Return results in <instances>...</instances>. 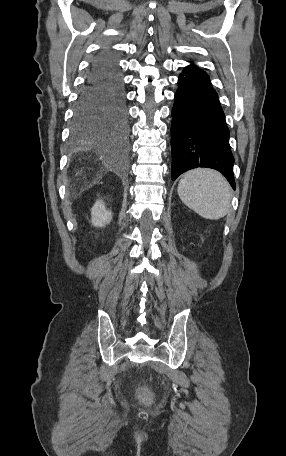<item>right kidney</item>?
Listing matches in <instances>:
<instances>
[{
    "mask_svg": "<svg viewBox=\"0 0 286 456\" xmlns=\"http://www.w3.org/2000/svg\"><path fill=\"white\" fill-rule=\"evenodd\" d=\"M91 223L95 227H105L112 220V212L106 210L105 203L97 201L91 209Z\"/></svg>",
    "mask_w": 286,
    "mask_h": 456,
    "instance_id": "ca27d5eb",
    "label": "right kidney"
}]
</instances>
